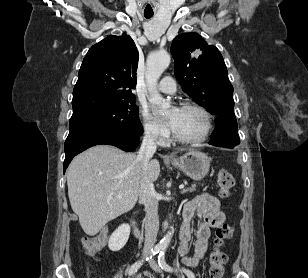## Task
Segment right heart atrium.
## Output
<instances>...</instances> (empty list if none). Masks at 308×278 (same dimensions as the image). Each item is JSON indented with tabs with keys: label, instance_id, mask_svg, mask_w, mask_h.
Returning <instances> with one entry per match:
<instances>
[{
	"label": "right heart atrium",
	"instance_id": "right-heart-atrium-1",
	"mask_svg": "<svg viewBox=\"0 0 308 278\" xmlns=\"http://www.w3.org/2000/svg\"><path fill=\"white\" fill-rule=\"evenodd\" d=\"M144 137L154 143L163 145L168 141L169 132L167 128L156 120L147 110L141 113Z\"/></svg>",
	"mask_w": 308,
	"mask_h": 278
}]
</instances>
